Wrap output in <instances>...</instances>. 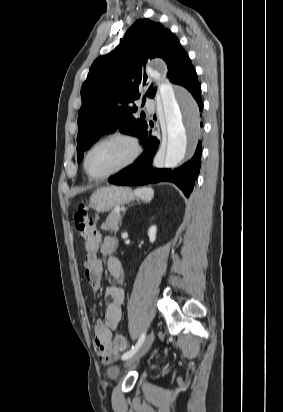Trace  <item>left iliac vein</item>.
I'll use <instances>...</instances> for the list:
<instances>
[{"mask_svg":"<svg viewBox=\"0 0 283 412\" xmlns=\"http://www.w3.org/2000/svg\"><path fill=\"white\" fill-rule=\"evenodd\" d=\"M155 339V333L151 332L146 339L144 340V342L142 343V345L140 346V348L137 350V352L130 357V359L126 362V366H130L132 364H134L136 361H138L141 357H143L147 351L149 350V348L151 347L153 341Z\"/></svg>","mask_w":283,"mask_h":412,"instance_id":"4c4485c4","label":"left iliac vein"}]
</instances>
